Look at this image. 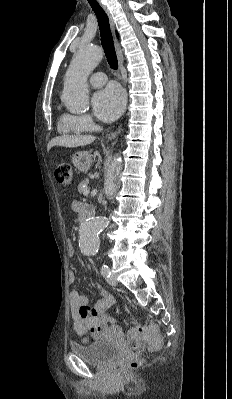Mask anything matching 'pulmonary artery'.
I'll return each instance as SVG.
<instances>
[{
	"label": "pulmonary artery",
	"instance_id": "e3ab8cb5",
	"mask_svg": "<svg viewBox=\"0 0 232 399\" xmlns=\"http://www.w3.org/2000/svg\"><path fill=\"white\" fill-rule=\"evenodd\" d=\"M90 82L92 85L91 90H103V84H108V77H106L101 69H98L96 73L92 75Z\"/></svg>",
	"mask_w": 232,
	"mask_h": 399
}]
</instances>
